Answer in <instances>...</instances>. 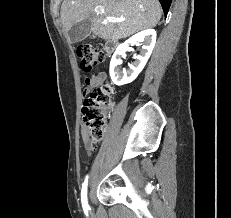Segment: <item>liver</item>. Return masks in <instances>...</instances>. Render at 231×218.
Instances as JSON below:
<instances>
[{"mask_svg":"<svg viewBox=\"0 0 231 218\" xmlns=\"http://www.w3.org/2000/svg\"><path fill=\"white\" fill-rule=\"evenodd\" d=\"M104 7L97 13L95 7ZM61 22L65 31L75 23L90 18L91 31L105 40H119L136 32L155 27L162 15L158 0H64L61 5ZM109 17L124 18L114 23Z\"/></svg>","mask_w":231,"mask_h":218,"instance_id":"obj_1","label":"liver"}]
</instances>
